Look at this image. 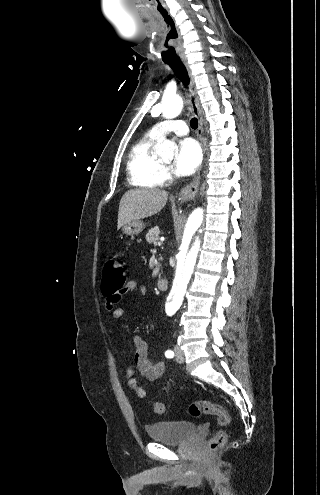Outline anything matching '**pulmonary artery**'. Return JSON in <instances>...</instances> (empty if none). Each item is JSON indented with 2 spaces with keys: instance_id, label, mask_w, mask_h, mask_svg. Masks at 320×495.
Returning <instances> with one entry per match:
<instances>
[{
  "instance_id": "pulmonary-artery-1",
  "label": "pulmonary artery",
  "mask_w": 320,
  "mask_h": 495,
  "mask_svg": "<svg viewBox=\"0 0 320 495\" xmlns=\"http://www.w3.org/2000/svg\"><path fill=\"white\" fill-rule=\"evenodd\" d=\"M150 133L159 138L169 133H175L183 136L188 133V127L184 121L181 120H167L155 125Z\"/></svg>"
}]
</instances>
